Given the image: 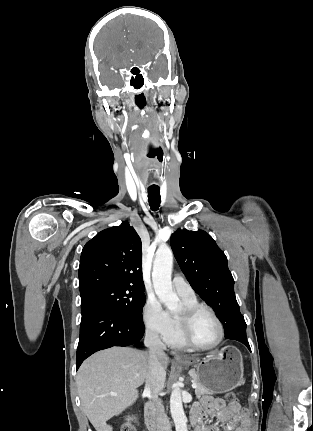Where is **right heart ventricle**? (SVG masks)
I'll list each match as a JSON object with an SVG mask.
<instances>
[{
    "instance_id": "obj_1",
    "label": "right heart ventricle",
    "mask_w": 313,
    "mask_h": 431,
    "mask_svg": "<svg viewBox=\"0 0 313 431\" xmlns=\"http://www.w3.org/2000/svg\"><path fill=\"white\" fill-rule=\"evenodd\" d=\"M181 297V296H180ZM184 305H196L197 299L196 297L187 298V297H181ZM171 322H172V330L170 334L165 339L166 343L174 348H183L185 347L184 342L182 341L180 334H179V327L176 315H171Z\"/></svg>"
}]
</instances>
